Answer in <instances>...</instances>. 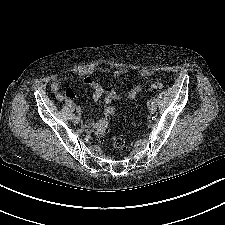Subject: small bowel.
Instances as JSON below:
<instances>
[{
	"label": "small bowel",
	"instance_id": "1",
	"mask_svg": "<svg viewBox=\"0 0 225 225\" xmlns=\"http://www.w3.org/2000/svg\"><path fill=\"white\" fill-rule=\"evenodd\" d=\"M126 73V70L118 69L114 71H110L106 68H97L95 70H85L79 73V77L83 80V82L93 89V99L98 101L101 97H105V102L110 103L115 100L123 99V96L111 88H107L99 84L98 82L94 81L91 78V74L101 75V74H110L113 77H120ZM151 71L147 69H141L138 71V76L140 78V82L135 84L127 93L126 98L129 100H133L141 91L144 81L151 75ZM64 82L63 77H57L52 82V91L54 93H58L61 89ZM58 97L61 99L62 97L74 99L76 97L74 91L71 88H67L63 94L59 93ZM94 126L92 121L85 123V129L90 131Z\"/></svg>",
	"mask_w": 225,
	"mask_h": 225
}]
</instances>
